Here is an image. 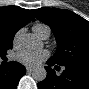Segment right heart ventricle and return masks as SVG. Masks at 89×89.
Wrapping results in <instances>:
<instances>
[{
	"label": "right heart ventricle",
	"instance_id": "e07e8e85",
	"mask_svg": "<svg viewBox=\"0 0 89 89\" xmlns=\"http://www.w3.org/2000/svg\"><path fill=\"white\" fill-rule=\"evenodd\" d=\"M45 28H49L48 26L44 25V24H36L33 28V31L36 33V35L39 36V34L45 29Z\"/></svg>",
	"mask_w": 89,
	"mask_h": 89
}]
</instances>
